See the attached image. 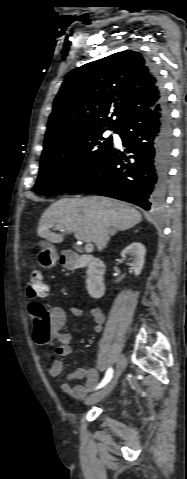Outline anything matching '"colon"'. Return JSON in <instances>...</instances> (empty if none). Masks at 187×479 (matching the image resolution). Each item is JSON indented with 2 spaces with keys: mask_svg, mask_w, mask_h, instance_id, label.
I'll return each instance as SVG.
<instances>
[{
  "mask_svg": "<svg viewBox=\"0 0 187 479\" xmlns=\"http://www.w3.org/2000/svg\"><path fill=\"white\" fill-rule=\"evenodd\" d=\"M48 294V286L40 270H34L27 283V295L31 299L44 298ZM30 314L38 330H47L50 326V314L40 303L30 306Z\"/></svg>",
  "mask_w": 187,
  "mask_h": 479,
  "instance_id": "1",
  "label": "colon"
}]
</instances>
